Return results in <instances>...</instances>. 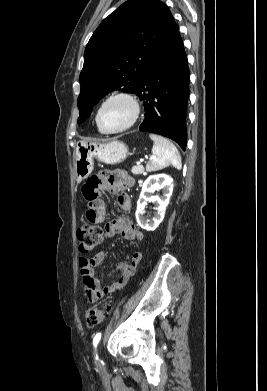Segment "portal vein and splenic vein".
Masks as SVG:
<instances>
[{"label":"portal vein and splenic vein","instance_id":"obj_1","mask_svg":"<svg viewBox=\"0 0 267 391\" xmlns=\"http://www.w3.org/2000/svg\"><path fill=\"white\" fill-rule=\"evenodd\" d=\"M141 161H143V160H141ZM137 164H141V162H138Z\"/></svg>","mask_w":267,"mask_h":391}]
</instances>
